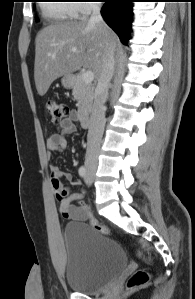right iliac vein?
<instances>
[{"mask_svg":"<svg viewBox=\"0 0 195 299\" xmlns=\"http://www.w3.org/2000/svg\"><path fill=\"white\" fill-rule=\"evenodd\" d=\"M94 171H95L94 166H88V172H89V176H90L91 179L93 178Z\"/></svg>","mask_w":195,"mask_h":299,"instance_id":"1","label":"right iliac vein"}]
</instances>
